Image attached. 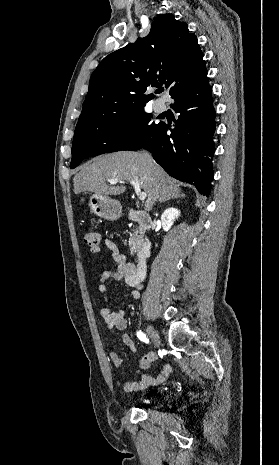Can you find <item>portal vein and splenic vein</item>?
Instances as JSON below:
<instances>
[{
	"label": "portal vein and splenic vein",
	"instance_id": "portal-vein-and-splenic-vein-1",
	"mask_svg": "<svg viewBox=\"0 0 279 465\" xmlns=\"http://www.w3.org/2000/svg\"><path fill=\"white\" fill-rule=\"evenodd\" d=\"M110 184H116L118 182V179H111L109 180ZM131 185L134 187V190L139 198V200L144 201L147 197L145 192L141 191L140 185L137 181L131 180L130 181Z\"/></svg>",
	"mask_w": 279,
	"mask_h": 465
}]
</instances>
